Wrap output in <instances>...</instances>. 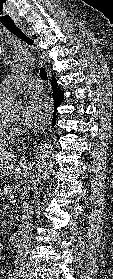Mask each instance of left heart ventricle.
Listing matches in <instances>:
<instances>
[{
	"label": "left heart ventricle",
	"instance_id": "1",
	"mask_svg": "<svg viewBox=\"0 0 113 279\" xmlns=\"http://www.w3.org/2000/svg\"><path fill=\"white\" fill-rule=\"evenodd\" d=\"M8 117L15 124H19L22 120V117H23V111L21 109V110H18V111L11 112V113L8 114Z\"/></svg>",
	"mask_w": 113,
	"mask_h": 279
}]
</instances>
